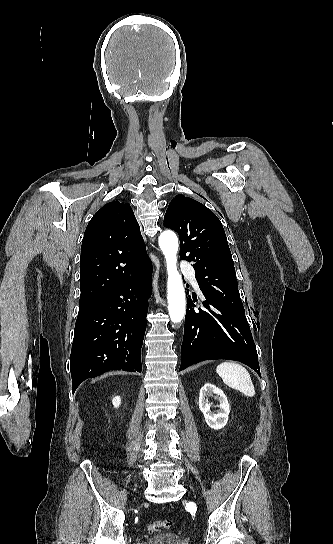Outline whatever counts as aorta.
Here are the masks:
<instances>
[{
  "instance_id": "obj_1",
  "label": "aorta",
  "mask_w": 333,
  "mask_h": 544,
  "mask_svg": "<svg viewBox=\"0 0 333 544\" xmlns=\"http://www.w3.org/2000/svg\"><path fill=\"white\" fill-rule=\"evenodd\" d=\"M159 246L167 265L169 316L173 323H180L185 316L186 300L182 277L177 269L178 238L172 231H164L159 237Z\"/></svg>"
}]
</instances>
